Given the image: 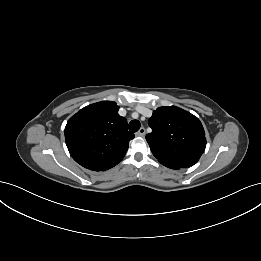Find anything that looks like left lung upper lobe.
I'll return each instance as SVG.
<instances>
[{
	"mask_svg": "<svg viewBox=\"0 0 261 261\" xmlns=\"http://www.w3.org/2000/svg\"><path fill=\"white\" fill-rule=\"evenodd\" d=\"M152 132L146 140L153 155L162 163L188 168L194 165L206 147L200 120L179 107H159L148 121Z\"/></svg>",
	"mask_w": 261,
	"mask_h": 261,
	"instance_id": "1",
	"label": "left lung upper lobe"
}]
</instances>
